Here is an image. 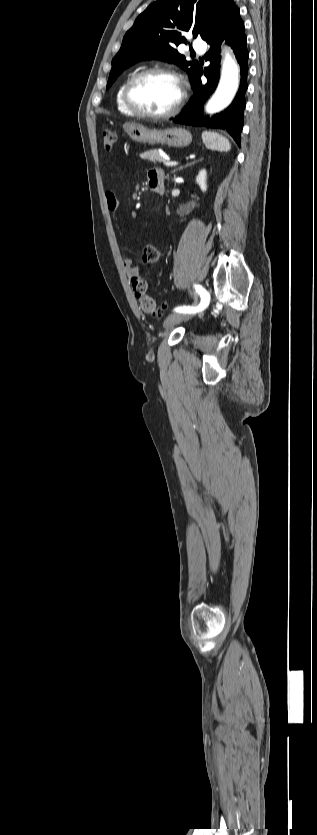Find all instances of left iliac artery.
<instances>
[{"mask_svg":"<svg viewBox=\"0 0 317 835\" xmlns=\"http://www.w3.org/2000/svg\"><path fill=\"white\" fill-rule=\"evenodd\" d=\"M196 292L200 295L201 301L198 306H179L174 309L175 312L195 313L204 310L209 304L208 292L199 284L194 285Z\"/></svg>","mask_w":317,"mask_h":835,"instance_id":"44dca946","label":"left iliac artery"}]
</instances>
